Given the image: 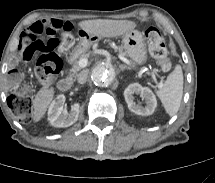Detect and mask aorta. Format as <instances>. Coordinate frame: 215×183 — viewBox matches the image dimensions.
<instances>
[{"label": "aorta", "mask_w": 215, "mask_h": 183, "mask_svg": "<svg viewBox=\"0 0 215 183\" xmlns=\"http://www.w3.org/2000/svg\"><path fill=\"white\" fill-rule=\"evenodd\" d=\"M91 79L95 85L100 87H107L115 79V70L109 64H98L92 70Z\"/></svg>", "instance_id": "1"}]
</instances>
